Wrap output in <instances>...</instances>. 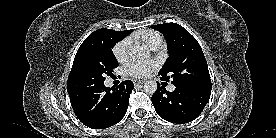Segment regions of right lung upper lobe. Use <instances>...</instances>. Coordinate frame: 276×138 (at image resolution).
Masks as SVG:
<instances>
[{"label":"right lung upper lobe","instance_id":"obj_1","mask_svg":"<svg viewBox=\"0 0 276 138\" xmlns=\"http://www.w3.org/2000/svg\"><path fill=\"white\" fill-rule=\"evenodd\" d=\"M104 29V28H102ZM101 29L96 30L95 32H100ZM115 31V30H114ZM132 30H125V31H115V33L118 35V37L121 39H123L124 37H126Z\"/></svg>","mask_w":276,"mask_h":138}]
</instances>
